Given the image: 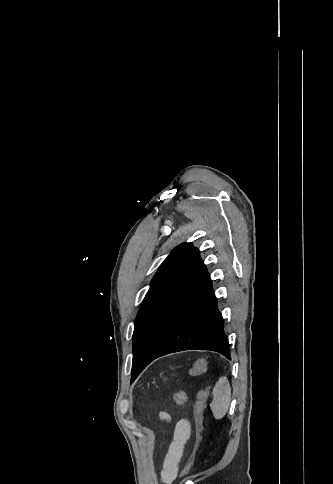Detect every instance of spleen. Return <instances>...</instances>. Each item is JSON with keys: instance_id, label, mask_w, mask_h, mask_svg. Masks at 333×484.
<instances>
[{"instance_id": "spleen-1", "label": "spleen", "mask_w": 333, "mask_h": 484, "mask_svg": "<svg viewBox=\"0 0 333 484\" xmlns=\"http://www.w3.org/2000/svg\"><path fill=\"white\" fill-rule=\"evenodd\" d=\"M213 400L210 408L213 417L217 420L222 419L229 409L231 398V387L227 377H221L215 384L212 391Z\"/></svg>"}]
</instances>
